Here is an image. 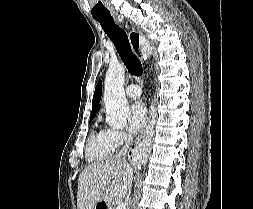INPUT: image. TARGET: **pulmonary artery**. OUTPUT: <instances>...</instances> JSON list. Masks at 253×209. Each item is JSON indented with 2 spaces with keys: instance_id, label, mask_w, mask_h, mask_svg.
<instances>
[{
  "instance_id": "pulmonary-artery-1",
  "label": "pulmonary artery",
  "mask_w": 253,
  "mask_h": 209,
  "mask_svg": "<svg viewBox=\"0 0 253 209\" xmlns=\"http://www.w3.org/2000/svg\"><path fill=\"white\" fill-rule=\"evenodd\" d=\"M126 94L131 98H138L141 95V90L137 84H130L126 87Z\"/></svg>"
}]
</instances>
